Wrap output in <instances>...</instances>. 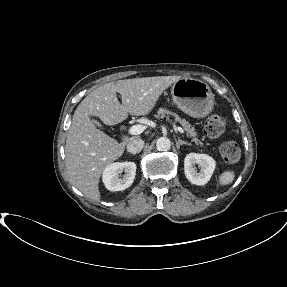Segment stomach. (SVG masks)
Listing matches in <instances>:
<instances>
[{"instance_id": "1", "label": "stomach", "mask_w": 287, "mask_h": 287, "mask_svg": "<svg viewBox=\"0 0 287 287\" xmlns=\"http://www.w3.org/2000/svg\"><path fill=\"white\" fill-rule=\"evenodd\" d=\"M171 95L179 109L195 118L206 117L214 107V94L198 79H179L171 86Z\"/></svg>"}]
</instances>
